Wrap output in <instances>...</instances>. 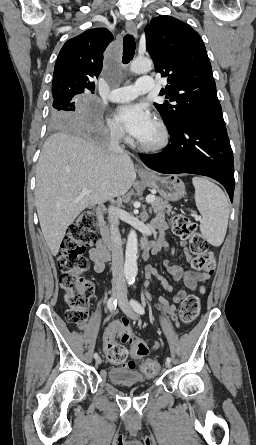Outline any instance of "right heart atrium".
Listing matches in <instances>:
<instances>
[{"label":"right heart atrium","mask_w":256,"mask_h":445,"mask_svg":"<svg viewBox=\"0 0 256 445\" xmlns=\"http://www.w3.org/2000/svg\"><path fill=\"white\" fill-rule=\"evenodd\" d=\"M107 130L109 136L115 140H121L124 138L123 129L114 119L107 120Z\"/></svg>","instance_id":"obj_1"}]
</instances>
